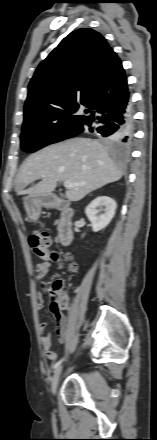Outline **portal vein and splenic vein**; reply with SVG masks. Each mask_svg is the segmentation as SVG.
I'll use <instances>...</instances> for the list:
<instances>
[{"instance_id":"1","label":"portal vein and splenic vein","mask_w":157,"mask_h":440,"mask_svg":"<svg viewBox=\"0 0 157 440\" xmlns=\"http://www.w3.org/2000/svg\"><path fill=\"white\" fill-rule=\"evenodd\" d=\"M64 187L69 189V188L74 187V184H72L70 181H65L64 182Z\"/></svg>"}]
</instances>
